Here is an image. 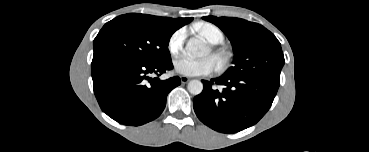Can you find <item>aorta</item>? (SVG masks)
Returning <instances> with one entry per match:
<instances>
[{
    "instance_id": "obj_1",
    "label": "aorta",
    "mask_w": 369,
    "mask_h": 152,
    "mask_svg": "<svg viewBox=\"0 0 369 152\" xmlns=\"http://www.w3.org/2000/svg\"><path fill=\"white\" fill-rule=\"evenodd\" d=\"M186 50L193 57H201L207 53L208 48L202 39L193 37L188 40ZM187 89L191 94L199 95L203 90V84L199 80H191Z\"/></svg>"
}]
</instances>
